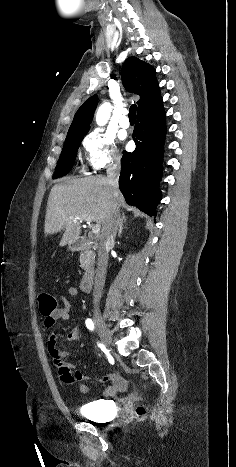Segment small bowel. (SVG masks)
Here are the masks:
<instances>
[{
  "instance_id": "obj_1",
  "label": "small bowel",
  "mask_w": 236,
  "mask_h": 467,
  "mask_svg": "<svg viewBox=\"0 0 236 467\" xmlns=\"http://www.w3.org/2000/svg\"><path fill=\"white\" fill-rule=\"evenodd\" d=\"M67 292L71 297H76L78 295V290L74 286H69ZM59 301L61 303L60 307L53 312L50 316H45L44 325L47 328H52L57 320L66 321L69 319V312L71 309V303L67 297L64 295L59 296ZM67 339L69 342H77L80 340V333L78 330H71ZM48 350L51 356V359L54 365L58 368V374L61 379L66 384H74L78 381H83L90 379L89 376L85 375L83 372L76 370L71 363L65 361L67 356L66 351L59 350L57 348V336L54 332H51L48 337ZM100 382L109 383V386L102 392L103 397H111L116 393L123 391L126 388V381L124 378L120 377L116 373H109L103 375L96 379ZM90 390L87 384L80 385V391L82 393H88Z\"/></svg>"
}]
</instances>
